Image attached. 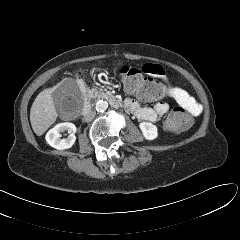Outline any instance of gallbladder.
Here are the masks:
<instances>
[{
	"instance_id": "bac80fb5",
	"label": "gallbladder",
	"mask_w": 240,
	"mask_h": 240,
	"mask_svg": "<svg viewBox=\"0 0 240 240\" xmlns=\"http://www.w3.org/2000/svg\"><path fill=\"white\" fill-rule=\"evenodd\" d=\"M77 90L75 82L67 80L53 91L52 99L59 114L71 112L77 106L78 101L74 97Z\"/></svg>"
}]
</instances>
